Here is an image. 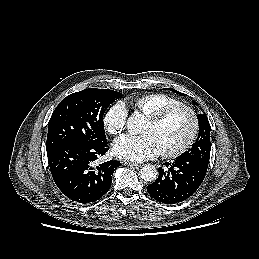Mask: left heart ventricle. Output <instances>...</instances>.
Listing matches in <instances>:
<instances>
[{"label": "left heart ventricle", "mask_w": 259, "mask_h": 259, "mask_svg": "<svg viewBox=\"0 0 259 259\" xmlns=\"http://www.w3.org/2000/svg\"><path fill=\"white\" fill-rule=\"evenodd\" d=\"M191 128L192 120L189 113L178 110L159 125L153 126L147 121L142 134L150 135L160 152L178 147L186 140Z\"/></svg>", "instance_id": "b2bd125f"}]
</instances>
